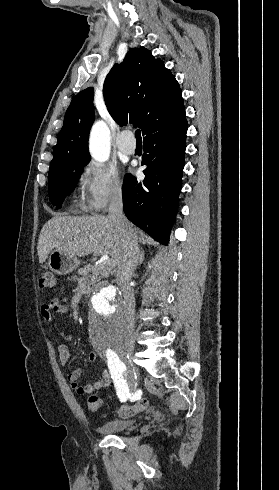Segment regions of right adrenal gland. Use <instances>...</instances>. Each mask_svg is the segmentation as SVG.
<instances>
[{
	"mask_svg": "<svg viewBox=\"0 0 279 490\" xmlns=\"http://www.w3.org/2000/svg\"><path fill=\"white\" fill-rule=\"evenodd\" d=\"M144 258H145L144 252H143V250H141V252H139V260H138L137 266H141V264H143Z\"/></svg>",
	"mask_w": 279,
	"mask_h": 490,
	"instance_id": "1",
	"label": "right adrenal gland"
}]
</instances>
